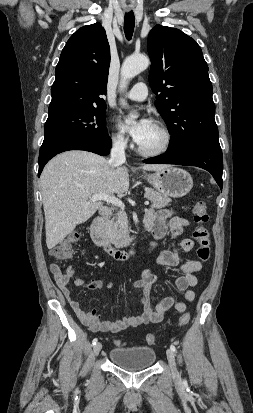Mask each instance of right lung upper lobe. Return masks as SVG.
I'll list each match as a JSON object with an SVG mask.
<instances>
[{
  "mask_svg": "<svg viewBox=\"0 0 253 413\" xmlns=\"http://www.w3.org/2000/svg\"><path fill=\"white\" fill-rule=\"evenodd\" d=\"M110 47L100 23L78 29L67 41L55 69L48 115L104 107Z\"/></svg>",
  "mask_w": 253,
  "mask_h": 413,
  "instance_id": "cb5924a9",
  "label": "right lung upper lobe"
}]
</instances>
